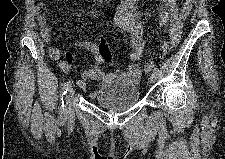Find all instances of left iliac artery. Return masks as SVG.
Instances as JSON below:
<instances>
[{"label":"left iliac artery","mask_w":225,"mask_h":159,"mask_svg":"<svg viewBox=\"0 0 225 159\" xmlns=\"http://www.w3.org/2000/svg\"><path fill=\"white\" fill-rule=\"evenodd\" d=\"M153 72L158 75L159 74V69L158 68H154Z\"/></svg>","instance_id":"left-iliac-artery-1"}]
</instances>
